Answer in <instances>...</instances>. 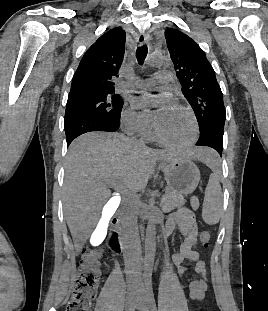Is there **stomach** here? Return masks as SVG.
Returning <instances> with one entry per match:
<instances>
[{"instance_id":"obj_1","label":"stomach","mask_w":268,"mask_h":311,"mask_svg":"<svg viewBox=\"0 0 268 311\" xmlns=\"http://www.w3.org/2000/svg\"><path fill=\"white\" fill-rule=\"evenodd\" d=\"M168 189L180 195L195 191L200 181V171L195 163L185 156H178L170 162H161Z\"/></svg>"}]
</instances>
